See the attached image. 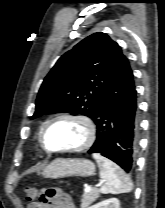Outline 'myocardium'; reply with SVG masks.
<instances>
[{"label": "myocardium", "mask_w": 165, "mask_h": 208, "mask_svg": "<svg viewBox=\"0 0 165 208\" xmlns=\"http://www.w3.org/2000/svg\"><path fill=\"white\" fill-rule=\"evenodd\" d=\"M73 120L76 122H79L86 131V138L84 142L81 144L70 147V148H61V149H50L46 146L45 143V136L52 124L59 120ZM96 138V127L94 122L92 121L91 118L83 115H78V114H73V113H64L57 115L53 118H51L47 123L43 126L40 135H39V142L41 147L48 153H53V154H60V153H71V152H80L83 151L87 148H89L95 141Z\"/></svg>", "instance_id": "obj_1"}]
</instances>
